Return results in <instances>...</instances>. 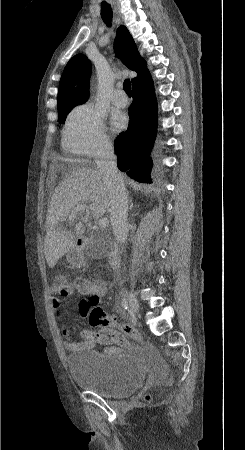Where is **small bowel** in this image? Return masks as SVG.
I'll list each match as a JSON object with an SVG mask.
<instances>
[{
  "mask_svg": "<svg viewBox=\"0 0 245 450\" xmlns=\"http://www.w3.org/2000/svg\"><path fill=\"white\" fill-rule=\"evenodd\" d=\"M92 284L94 285V291L92 292V296L97 300L101 299V297L105 293V290L108 287V284L104 281H92ZM74 290H76L74 287H68L66 290H62L61 292H59V295H60V297H64V298L69 297ZM89 304H90V299H87L80 304L79 316L81 318L87 317L88 314H87V311L85 310V308ZM51 306L55 311V315H56L57 319H61L62 314L59 310L61 307V301L56 293H53L51 296ZM86 333H89V331L85 332V334ZM85 334H84V337L82 338V340L75 341L71 338L68 325L64 324L62 327V331H61V338H62L68 351L79 352V351H83V350H90L96 344H98V342L94 338L89 337ZM132 342L133 341L131 340L130 343H132ZM104 351L109 354H120L124 351V348L117 347V346H107L104 348Z\"/></svg>",
  "mask_w": 245,
  "mask_h": 450,
  "instance_id": "obj_1",
  "label": "small bowel"
}]
</instances>
